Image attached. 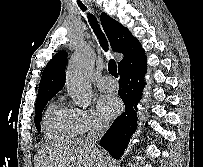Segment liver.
Masks as SVG:
<instances>
[{
    "label": "liver",
    "instance_id": "liver-1",
    "mask_svg": "<svg viewBox=\"0 0 203 167\" xmlns=\"http://www.w3.org/2000/svg\"><path fill=\"white\" fill-rule=\"evenodd\" d=\"M103 154L85 141L53 144L38 152L35 167H106Z\"/></svg>",
    "mask_w": 203,
    "mask_h": 167
}]
</instances>
